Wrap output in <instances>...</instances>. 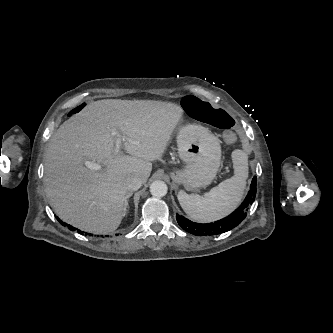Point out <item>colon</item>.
I'll list each match as a JSON object with an SVG mask.
<instances>
[{"label": "colon", "instance_id": "1", "mask_svg": "<svg viewBox=\"0 0 333 333\" xmlns=\"http://www.w3.org/2000/svg\"><path fill=\"white\" fill-rule=\"evenodd\" d=\"M182 105L194 119L222 130H231L234 126L232 117L224 110L215 108L210 102L197 96L189 95L183 98ZM84 104L75 107L70 114H79Z\"/></svg>", "mask_w": 333, "mask_h": 333}]
</instances>
